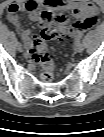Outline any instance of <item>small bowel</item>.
<instances>
[{
	"label": "small bowel",
	"instance_id": "small-bowel-1",
	"mask_svg": "<svg viewBox=\"0 0 104 137\" xmlns=\"http://www.w3.org/2000/svg\"><path fill=\"white\" fill-rule=\"evenodd\" d=\"M19 11H26L32 21H41V13L46 12L55 25L74 37H78L82 30L91 28L99 20L98 8L87 0H28L21 4H10L7 8V20L18 29L31 56L33 45L30 31L22 28ZM63 11H70L76 20L70 21Z\"/></svg>",
	"mask_w": 104,
	"mask_h": 137
}]
</instances>
